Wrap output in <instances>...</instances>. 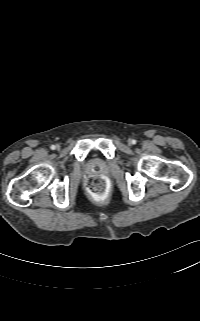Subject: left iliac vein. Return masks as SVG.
I'll list each match as a JSON object with an SVG mask.
<instances>
[{
    "label": "left iliac vein",
    "mask_w": 200,
    "mask_h": 321,
    "mask_svg": "<svg viewBox=\"0 0 200 321\" xmlns=\"http://www.w3.org/2000/svg\"><path fill=\"white\" fill-rule=\"evenodd\" d=\"M128 144L131 145L132 144V140H128Z\"/></svg>",
    "instance_id": "1"
}]
</instances>
